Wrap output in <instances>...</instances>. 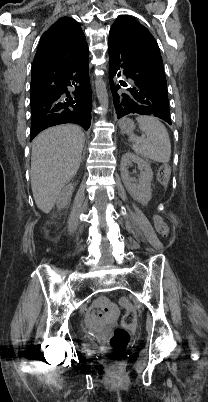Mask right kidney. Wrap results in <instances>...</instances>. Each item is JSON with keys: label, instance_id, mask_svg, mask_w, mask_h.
Returning a JSON list of instances; mask_svg holds the SVG:
<instances>
[{"label": "right kidney", "instance_id": "obj_1", "mask_svg": "<svg viewBox=\"0 0 208 402\" xmlns=\"http://www.w3.org/2000/svg\"><path fill=\"white\" fill-rule=\"evenodd\" d=\"M73 190H74V184H68V186H65V188H63L56 202L58 210H62V208H66V206H68L72 198Z\"/></svg>", "mask_w": 208, "mask_h": 402}]
</instances>
